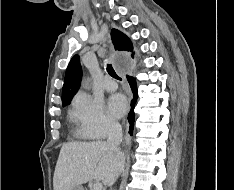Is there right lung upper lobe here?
I'll use <instances>...</instances> for the list:
<instances>
[{
	"instance_id": "right-lung-upper-lobe-1",
	"label": "right lung upper lobe",
	"mask_w": 234,
	"mask_h": 190,
	"mask_svg": "<svg viewBox=\"0 0 234 190\" xmlns=\"http://www.w3.org/2000/svg\"><path fill=\"white\" fill-rule=\"evenodd\" d=\"M112 42L116 50L119 51H133V46L130 39L117 29L111 31ZM133 57V54L131 55ZM82 70L79 56L75 55L71 59L65 74L64 85L62 89V104L69 103L74 94L79 88L81 81Z\"/></svg>"
}]
</instances>
